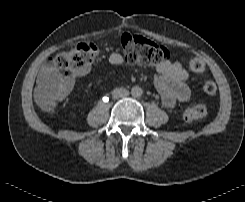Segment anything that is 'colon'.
<instances>
[{
	"label": "colon",
	"mask_w": 245,
	"mask_h": 202,
	"mask_svg": "<svg viewBox=\"0 0 245 202\" xmlns=\"http://www.w3.org/2000/svg\"><path fill=\"white\" fill-rule=\"evenodd\" d=\"M102 43L100 41H84L75 44L68 51L58 54L54 64L61 71V76L53 78L37 94L36 101L45 111L52 110L58 102L68 95V78L84 75L97 57ZM121 47L126 60L131 64L150 66L166 61L170 57L168 48L142 36L123 34ZM192 72L200 74L205 69V64L200 59H192L189 62ZM203 92L206 95H214L217 86L213 81L203 84ZM209 112L206 104H197L184 109L183 118L187 122L205 118Z\"/></svg>",
	"instance_id": "1"
}]
</instances>
